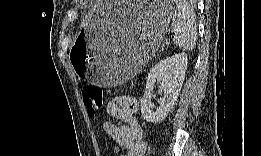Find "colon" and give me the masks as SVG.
<instances>
[{"mask_svg":"<svg viewBox=\"0 0 261 156\" xmlns=\"http://www.w3.org/2000/svg\"><path fill=\"white\" fill-rule=\"evenodd\" d=\"M82 96L84 104L90 115H94L103 108V94L102 90L98 86H85L82 91Z\"/></svg>","mask_w":261,"mask_h":156,"instance_id":"obj_1","label":"colon"}]
</instances>
